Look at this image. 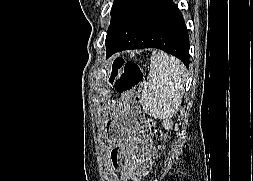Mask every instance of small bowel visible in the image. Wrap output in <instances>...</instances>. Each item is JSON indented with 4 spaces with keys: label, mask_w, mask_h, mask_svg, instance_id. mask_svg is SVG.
<instances>
[{
    "label": "small bowel",
    "mask_w": 253,
    "mask_h": 181,
    "mask_svg": "<svg viewBox=\"0 0 253 181\" xmlns=\"http://www.w3.org/2000/svg\"><path fill=\"white\" fill-rule=\"evenodd\" d=\"M129 95L120 100L115 115L118 116L128 107ZM112 147L109 151L111 166L121 173L124 181H140L147 175L157 150L152 145L151 138L145 129L134 131L132 134L120 130V122L112 120Z\"/></svg>",
    "instance_id": "small-bowel-1"
}]
</instances>
